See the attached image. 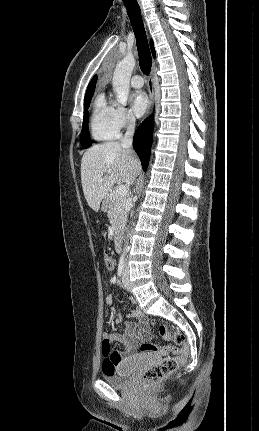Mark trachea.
Masks as SVG:
<instances>
[{
  "mask_svg": "<svg viewBox=\"0 0 259 431\" xmlns=\"http://www.w3.org/2000/svg\"><path fill=\"white\" fill-rule=\"evenodd\" d=\"M123 2L135 33L141 71L145 75H149L151 71L152 58L141 17L140 7L136 0H123Z\"/></svg>",
  "mask_w": 259,
  "mask_h": 431,
  "instance_id": "trachea-1",
  "label": "trachea"
}]
</instances>
